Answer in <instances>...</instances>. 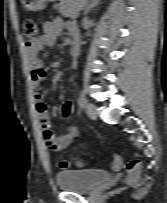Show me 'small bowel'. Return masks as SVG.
<instances>
[{
  "instance_id": "c3829d8e",
  "label": "small bowel",
  "mask_w": 167,
  "mask_h": 203,
  "mask_svg": "<svg viewBox=\"0 0 167 203\" xmlns=\"http://www.w3.org/2000/svg\"><path fill=\"white\" fill-rule=\"evenodd\" d=\"M66 29L71 37L77 39V28L72 23H64L61 19L47 21L43 25V32L34 41L26 45L27 57L29 60L30 77L34 87L47 74V66L40 58V53L43 49L53 47L62 30ZM35 111L39 119V124L42 129V135L46 146L54 151L59 152L69 147L78 137L80 132L75 126H69L67 131L59 136H56L51 130V117L61 116L64 120H68L74 110V102L66 101L62 107L50 106L45 103L40 93L35 94ZM121 165L114 167L119 168Z\"/></svg>"
}]
</instances>
